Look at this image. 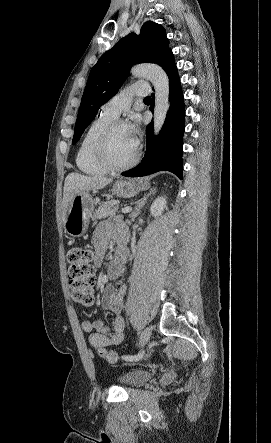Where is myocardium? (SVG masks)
Wrapping results in <instances>:
<instances>
[{
  "instance_id": "1",
  "label": "myocardium",
  "mask_w": 271,
  "mask_h": 443,
  "mask_svg": "<svg viewBox=\"0 0 271 443\" xmlns=\"http://www.w3.org/2000/svg\"><path fill=\"white\" fill-rule=\"evenodd\" d=\"M120 126H130V124L123 119H113L104 128L96 144V155L99 161L107 170L114 172H120L131 168L137 163L141 155V145L140 142H138L137 151L130 160L122 164H117L113 161L110 154V142L114 131Z\"/></svg>"
}]
</instances>
